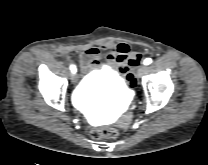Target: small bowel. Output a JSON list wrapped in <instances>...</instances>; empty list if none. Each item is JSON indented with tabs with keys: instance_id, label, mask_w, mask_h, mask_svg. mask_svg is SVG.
Wrapping results in <instances>:
<instances>
[{
	"instance_id": "1",
	"label": "small bowel",
	"mask_w": 208,
	"mask_h": 165,
	"mask_svg": "<svg viewBox=\"0 0 208 165\" xmlns=\"http://www.w3.org/2000/svg\"><path fill=\"white\" fill-rule=\"evenodd\" d=\"M106 52L107 62L113 69L124 74L138 65L140 57L131 51L125 43H105L100 47H90L79 57L80 65L85 73H89L100 67V56Z\"/></svg>"
}]
</instances>
